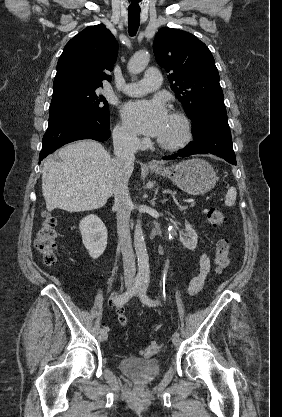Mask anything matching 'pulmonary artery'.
I'll list each match as a JSON object with an SVG mask.
<instances>
[{"label":"pulmonary artery","mask_w":282,"mask_h":417,"mask_svg":"<svg viewBox=\"0 0 282 417\" xmlns=\"http://www.w3.org/2000/svg\"><path fill=\"white\" fill-rule=\"evenodd\" d=\"M160 70L150 69L145 70L144 76L141 80L126 84L123 88L125 94L129 96H141L152 90L157 89L161 84Z\"/></svg>","instance_id":"pulmonary-artery-1"}]
</instances>
